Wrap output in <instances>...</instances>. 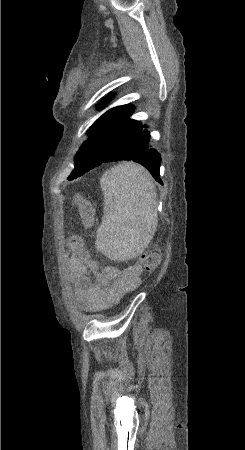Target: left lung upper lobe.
Wrapping results in <instances>:
<instances>
[{"label": "left lung upper lobe", "mask_w": 245, "mask_h": 450, "mask_svg": "<svg viewBox=\"0 0 245 450\" xmlns=\"http://www.w3.org/2000/svg\"><path fill=\"white\" fill-rule=\"evenodd\" d=\"M105 102L106 101L100 103L99 109L103 108ZM133 111V106L128 104L111 108L105 112L89 128V138L85 145L94 147L105 146L109 149L123 147L128 141L133 139L142 128L140 122L129 118ZM79 151L75 156V169L68 179L93 168L100 162L102 153L101 155L97 157H95V155L94 158L88 160L84 155L80 154Z\"/></svg>", "instance_id": "5c2ea615"}]
</instances>
